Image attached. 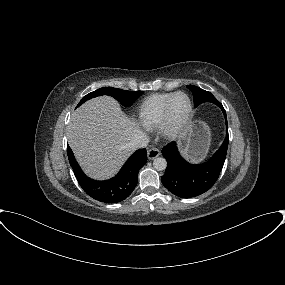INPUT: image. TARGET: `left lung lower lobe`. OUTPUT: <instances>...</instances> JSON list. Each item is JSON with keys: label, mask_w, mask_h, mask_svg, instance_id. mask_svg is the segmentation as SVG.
I'll return each mask as SVG.
<instances>
[{"label": "left lung lower lobe", "mask_w": 285, "mask_h": 285, "mask_svg": "<svg viewBox=\"0 0 285 285\" xmlns=\"http://www.w3.org/2000/svg\"><path fill=\"white\" fill-rule=\"evenodd\" d=\"M226 120V137L213 157L203 164L193 165L186 162L178 152L175 142L162 149L167 160L165 174L161 177L163 185L180 198H191L209 190L216 182L223 168L229 143L227 117L221 103L217 104Z\"/></svg>", "instance_id": "left-lung-lower-lobe-1"}]
</instances>
